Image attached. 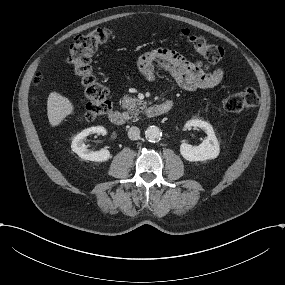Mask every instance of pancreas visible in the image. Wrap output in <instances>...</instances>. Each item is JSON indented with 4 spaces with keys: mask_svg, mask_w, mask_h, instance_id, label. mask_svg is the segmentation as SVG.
<instances>
[{
    "mask_svg": "<svg viewBox=\"0 0 285 285\" xmlns=\"http://www.w3.org/2000/svg\"><path fill=\"white\" fill-rule=\"evenodd\" d=\"M148 103L143 100L134 98L133 96H126L122 100V108L127 109L129 115L133 118H137L141 112L144 111Z\"/></svg>",
    "mask_w": 285,
    "mask_h": 285,
    "instance_id": "1",
    "label": "pancreas"
}]
</instances>
